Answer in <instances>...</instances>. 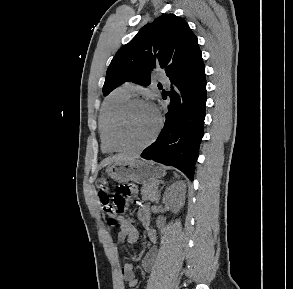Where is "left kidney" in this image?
<instances>
[{
	"mask_svg": "<svg viewBox=\"0 0 293 289\" xmlns=\"http://www.w3.org/2000/svg\"><path fill=\"white\" fill-rule=\"evenodd\" d=\"M185 182L177 181L169 186L163 196V203L171 208L174 213L180 211L185 201Z\"/></svg>",
	"mask_w": 293,
	"mask_h": 289,
	"instance_id": "1",
	"label": "left kidney"
}]
</instances>
